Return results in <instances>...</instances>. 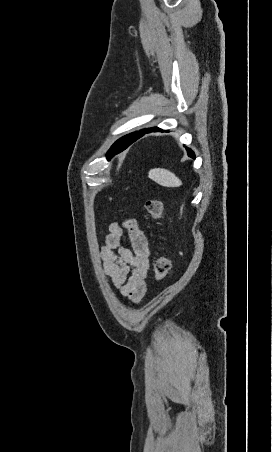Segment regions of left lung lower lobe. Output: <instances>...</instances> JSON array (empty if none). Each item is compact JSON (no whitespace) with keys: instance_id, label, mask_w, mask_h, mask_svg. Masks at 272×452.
Returning a JSON list of instances; mask_svg holds the SVG:
<instances>
[{"instance_id":"0a47b994","label":"left lung lower lobe","mask_w":272,"mask_h":452,"mask_svg":"<svg viewBox=\"0 0 272 452\" xmlns=\"http://www.w3.org/2000/svg\"><path fill=\"white\" fill-rule=\"evenodd\" d=\"M155 131H162L161 129L155 127V128H148V129H144L139 131L137 134H135L130 140H128L127 144L125 146H129L131 145L133 142H135L136 140H138L139 138H141L142 136H144L147 133L150 132H155ZM168 132V131H166ZM124 137L120 138L119 140H117L112 147L109 150V154L107 156L108 159H110L111 157H113L115 154L120 153L121 151L125 150L126 148L121 146V141H123ZM187 152H188V156L191 158H195V154L191 149L187 148Z\"/></svg>"}]
</instances>
